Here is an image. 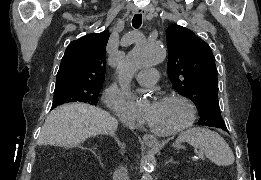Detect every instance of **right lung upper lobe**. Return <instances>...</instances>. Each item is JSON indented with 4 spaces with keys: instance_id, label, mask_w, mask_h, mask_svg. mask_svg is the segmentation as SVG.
Returning a JSON list of instances; mask_svg holds the SVG:
<instances>
[{
    "instance_id": "1",
    "label": "right lung upper lobe",
    "mask_w": 261,
    "mask_h": 180,
    "mask_svg": "<svg viewBox=\"0 0 261 180\" xmlns=\"http://www.w3.org/2000/svg\"><path fill=\"white\" fill-rule=\"evenodd\" d=\"M107 31L72 41L62 58L56 86L69 83L103 84L105 79Z\"/></svg>"
}]
</instances>
